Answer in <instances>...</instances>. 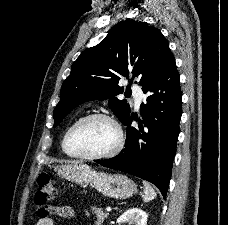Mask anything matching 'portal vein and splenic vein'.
Listing matches in <instances>:
<instances>
[{"mask_svg": "<svg viewBox=\"0 0 228 225\" xmlns=\"http://www.w3.org/2000/svg\"><path fill=\"white\" fill-rule=\"evenodd\" d=\"M106 211H111L110 207H107Z\"/></svg>", "mask_w": 228, "mask_h": 225, "instance_id": "18ae733b", "label": "portal vein and splenic vein"}]
</instances>
